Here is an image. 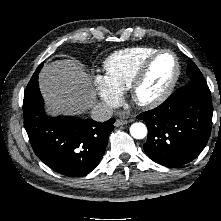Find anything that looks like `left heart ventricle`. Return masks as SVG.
Listing matches in <instances>:
<instances>
[{"label": "left heart ventricle", "instance_id": "1", "mask_svg": "<svg viewBox=\"0 0 221 221\" xmlns=\"http://www.w3.org/2000/svg\"><path fill=\"white\" fill-rule=\"evenodd\" d=\"M174 71V58L170 54L159 56L151 66L145 82L139 89V97L149 99L158 95L168 85Z\"/></svg>", "mask_w": 221, "mask_h": 221}]
</instances>
